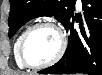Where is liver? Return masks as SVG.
I'll return each instance as SVG.
<instances>
[{
    "instance_id": "liver-1",
    "label": "liver",
    "mask_w": 102,
    "mask_h": 75,
    "mask_svg": "<svg viewBox=\"0 0 102 75\" xmlns=\"http://www.w3.org/2000/svg\"><path fill=\"white\" fill-rule=\"evenodd\" d=\"M11 75H24V74H21L19 72H15V73H12Z\"/></svg>"
}]
</instances>
